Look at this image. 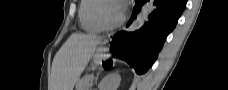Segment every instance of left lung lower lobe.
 <instances>
[{
    "label": "left lung lower lobe",
    "mask_w": 228,
    "mask_h": 90,
    "mask_svg": "<svg viewBox=\"0 0 228 90\" xmlns=\"http://www.w3.org/2000/svg\"><path fill=\"white\" fill-rule=\"evenodd\" d=\"M145 0H135L132 17L134 20ZM186 0H155L156 9L149 16V22L134 33L120 32L112 37L111 53L127 61L138 74L145 73L157 58L167 35L174 29Z\"/></svg>",
    "instance_id": "left-lung-lower-lobe-1"
}]
</instances>
